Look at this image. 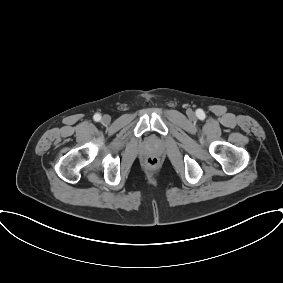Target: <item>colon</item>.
<instances>
[{
  "label": "colon",
  "mask_w": 283,
  "mask_h": 283,
  "mask_svg": "<svg viewBox=\"0 0 283 283\" xmlns=\"http://www.w3.org/2000/svg\"><path fill=\"white\" fill-rule=\"evenodd\" d=\"M158 159L156 158V157H149L148 159H147V163H148V165H150V166H155V165H157L158 164Z\"/></svg>",
  "instance_id": "obj_1"
}]
</instances>
